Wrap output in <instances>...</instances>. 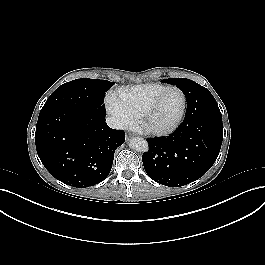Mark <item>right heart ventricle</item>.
<instances>
[{
    "label": "right heart ventricle",
    "instance_id": "obj_1",
    "mask_svg": "<svg viewBox=\"0 0 265 265\" xmlns=\"http://www.w3.org/2000/svg\"><path fill=\"white\" fill-rule=\"evenodd\" d=\"M165 87L162 84L149 83L130 88H121L118 90L117 95L121 104L132 116L133 121H139L149 103Z\"/></svg>",
    "mask_w": 265,
    "mask_h": 265
}]
</instances>
